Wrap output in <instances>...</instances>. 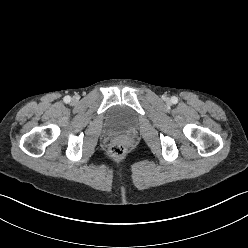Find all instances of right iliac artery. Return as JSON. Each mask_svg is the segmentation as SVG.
<instances>
[{"label":"right iliac artery","instance_id":"right-iliac-artery-1","mask_svg":"<svg viewBox=\"0 0 248 248\" xmlns=\"http://www.w3.org/2000/svg\"><path fill=\"white\" fill-rule=\"evenodd\" d=\"M71 101V97L70 96H65L64 97V102L65 103H69Z\"/></svg>","mask_w":248,"mask_h":248}]
</instances>
